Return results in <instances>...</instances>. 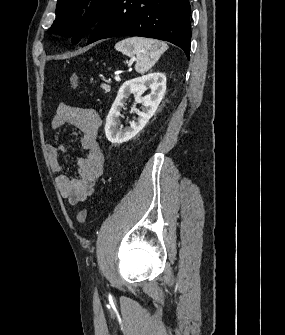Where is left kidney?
I'll return each mask as SVG.
<instances>
[{"label":"left kidney","instance_id":"5707ae66","mask_svg":"<svg viewBox=\"0 0 285 335\" xmlns=\"http://www.w3.org/2000/svg\"><path fill=\"white\" fill-rule=\"evenodd\" d=\"M146 86L152 92L142 98V94L148 90ZM165 92L166 76L160 74V72H154V74H147V76L124 82L120 90H118L117 98L106 118L105 134L107 140L112 142V144H123V142H128L136 134H139L150 118L154 116L160 102L164 98ZM130 94H134L135 104H142L144 108H142V112L131 108L132 112H135L138 116L137 122H130V128L122 130V126L118 128L119 116H121V108H124V100Z\"/></svg>","mask_w":285,"mask_h":335}]
</instances>
